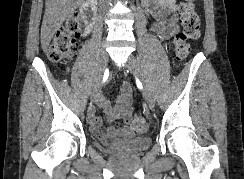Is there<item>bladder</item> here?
I'll return each mask as SVG.
<instances>
[{
    "mask_svg": "<svg viewBox=\"0 0 244 179\" xmlns=\"http://www.w3.org/2000/svg\"><path fill=\"white\" fill-rule=\"evenodd\" d=\"M150 146V137H139L127 142L120 143L119 146L115 149H112L110 153L116 157L126 158L143 154L150 148Z\"/></svg>",
    "mask_w": 244,
    "mask_h": 179,
    "instance_id": "1",
    "label": "bladder"
}]
</instances>
